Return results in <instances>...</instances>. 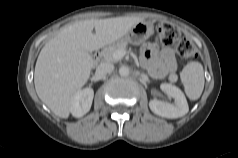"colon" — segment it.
<instances>
[{
  "label": "colon",
  "mask_w": 238,
  "mask_h": 158,
  "mask_svg": "<svg viewBox=\"0 0 238 158\" xmlns=\"http://www.w3.org/2000/svg\"><path fill=\"white\" fill-rule=\"evenodd\" d=\"M156 40L165 46L175 45L182 59L191 60L197 55L193 44L170 23L163 22L157 25Z\"/></svg>",
  "instance_id": "colon-1"
}]
</instances>
